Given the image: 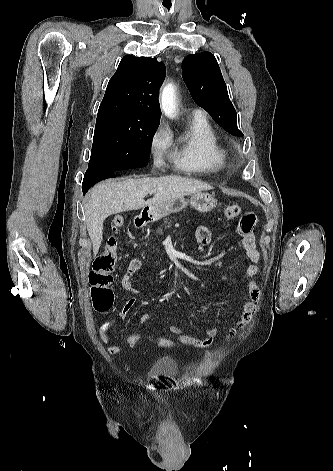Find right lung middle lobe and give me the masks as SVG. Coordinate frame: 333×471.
Masks as SVG:
<instances>
[{
    "label": "right lung middle lobe",
    "mask_w": 333,
    "mask_h": 471,
    "mask_svg": "<svg viewBox=\"0 0 333 471\" xmlns=\"http://www.w3.org/2000/svg\"><path fill=\"white\" fill-rule=\"evenodd\" d=\"M159 123L116 116L97 118L87 171L119 172L147 166Z\"/></svg>",
    "instance_id": "dd1d6c3e"
}]
</instances>
